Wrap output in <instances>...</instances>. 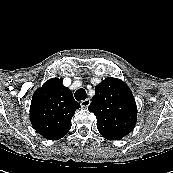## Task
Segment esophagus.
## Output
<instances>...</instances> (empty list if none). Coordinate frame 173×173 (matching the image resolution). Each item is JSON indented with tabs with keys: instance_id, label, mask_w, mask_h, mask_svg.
<instances>
[{
	"instance_id": "34e87169",
	"label": "esophagus",
	"mask_w": 173,
	"mask_h": 173,
	"mask_svg": "<svg viewBox=\"0 0 173 173\" xmlns=\"http://www.w3.org/2000/svg\"><path fill=\"white\" fill-rule=\"evenodd\" d=\"M90 103H91V100L89 98H87L85 100H82L80 104L82 107L86 108L90 105Z\"/></svg>"
}]
</instances>
